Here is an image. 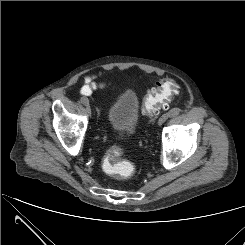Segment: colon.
<instances>
[{"label":"colon","instance_id":"5ec220e1","mask_svg":"<svg viewBox=\"0 0 245 245\" xmlns=\"http://www.w3.org/2000/svg\"><path fill=\"white\" fill-rule=\"evenodd\" d=\"M177 94V86L172 79L164 78L151 88L143 102V112L149 116L156 114L161 107L168 106ZM120 150L110 151L103 159L101 168L107 175L116 178H128L134 171V166L129 161L120 159Z\"/></svg>","mask_w":245,"mask_h":245}]
</instances>
